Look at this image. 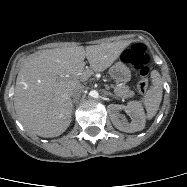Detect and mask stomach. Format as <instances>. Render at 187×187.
Wrapping results in <instances>:
<instances>
[{"label": "stomach", "instance_id": "stomach-1", "mask_svg": "<svg viewBox=\"0 0 187 187\" xmlns=\"http://www.w3.org/2000/svg\"><path fill=\"white\" fill-rule=\"evenodd\" d=\"M109 74L118 82L125 83L131 79V71L122 61L115 63L110 68Z\"/></svg>", "mask_w": 187, "mask_h": 187}]
</instances>
